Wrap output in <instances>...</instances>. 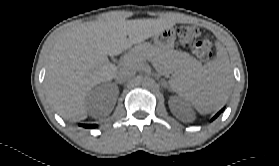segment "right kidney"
I'll return each mask as SVG.
<instances>
[{"mask_svg": "<svg viewBox=\"0 0 279 166\" xmlns=\"http://www.w3.org/2000/svg\"><path fill=\"white\" fill-rule=\"evenodd\" d=\"M119 93L118 88H111L103 85L90 91L87 95V103L90 105L98 104L103 98H116Z\"/></svg>", "mask_w": 279, "mask_h": 166, "instance_id": "ca27d5eb", "label": "right kidney"}]
</instances>
